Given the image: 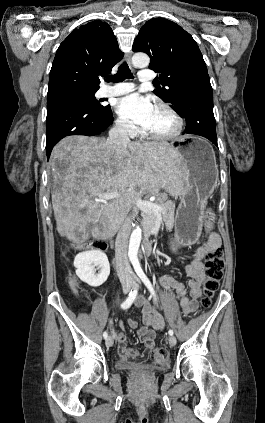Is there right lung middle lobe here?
I'll return each mask as SVG.
<instances>
[{
  "label": "right lung middle lobe",
  "mask_w": 265,
  "mask_h": 423,
  "mask_svg": "<svg viewBox=\"0 0 265 423\" xmlns=\"http://www.w3.org/2000/svg\"><path fill=\"white\" fill-rule=\"evenodd\" d=\"M97 90H84V89H76V90H71V91H67L61 94H69V95H74L77 97L82 98L86 103H88L90 106H92L93 108L97 109V110H108L110 109V106H104L102 105L100 102L98 101L94 94L96 93Z\"/></svg>",
  "instance_id": "1"
}]
</instances>
